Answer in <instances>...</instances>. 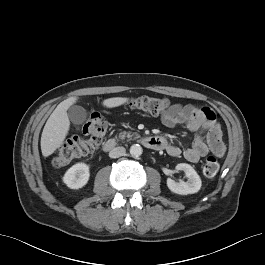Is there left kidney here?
I'll list each match as a JSON object with an SVG mask.
<instances>
[{
    "label": "left kidney",
    "mask_w": 265,
    "mask_h": 265,
    "mask_svg": "<svg viewBox=\"0 0 265 265\" xmlns=\"http://www.w3.org/2000/svg\"><path fill=\"white\" fill-rule=\"evenodd\" d=\"M176 170L184 171L188 180L186 182H176L175 180L168 178L167 186L172 192L180 195H187L194 194L200 190L202 185L200 176L191 165L180 163L176 166Z\"/></svg>",
    "instance_id": "1"
}]
</instances>
